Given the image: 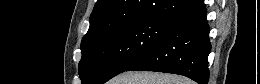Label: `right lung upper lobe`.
<instances>
[{
  "label": "right lung upper lobe",
  "mask_w": 260,
  "mask_h": 84,
  "mask_svg": "<svg viewBox=\"0 0 260 84\" xmlns=\"http://www.w3.org/2000/svg\"><path fill=\"white\" fill-rule=\"evenodd\" d=\"M202 3L203 0H98L81 45L126 23L145 19L174 22Z\"/></svg>",
  "instance_id": "right-lung-upper-lobe-1"
}]
</instances>
